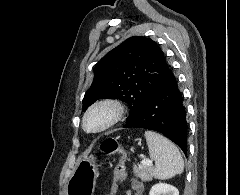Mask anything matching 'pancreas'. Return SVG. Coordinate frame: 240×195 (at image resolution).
Returning <instances> with one entry per match:
<instances>
[{
	"label": "pancreas",
	"instance_id": "pancreas-1",
	"mask_svg": "<svg viewBox=\"0 0 240 195\" xmlns=\"http://www.w3.org/2000/svg\"><path fill=\"white\" fill-rule=\"evenodd\" d=\"M134 175L140 177L141 181H152L154 177V169L150 165H144V167H134Z\"/></svg>",
	"mask_w": 240,
	"mask_h": 195
}]
</instances>
